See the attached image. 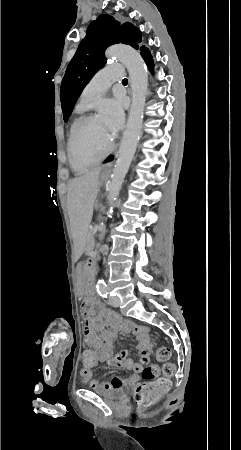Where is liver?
Returning <instances> with one entry per match:
<instances>
[{
    "mask_svg": "<svg viewBox=\"0 0 241 450\" xmlns=\"http://www.w3.org/2000/svg\"><path fill=\"white\" fill-rule=\"evenodd\" d=\"M100 172L102 168H95L93 172L72 180L68 190V210L72 224L78 222L89 226L100 186Z\"/></svg>",
    "mask_w": 241,
    "mask_h": 450,
    "instance_id": "1",
    "label": "liver"
}]
</instances>
